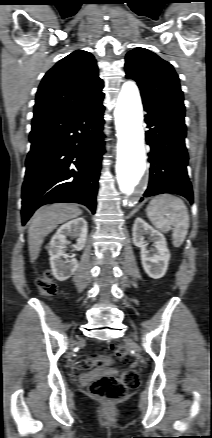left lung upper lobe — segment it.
I'll list each match as a JSON object with an SVG mask.
<instances>
[{"mask_svg":"<svg viewBox=\"0 0 212 438\" xmlns=\"http://www.w3.org/2000/svg\"><path fill=\"white\" fill-rule=\"evenodd\" d=\"M126 77L137 82L143 100L185 112L179 78L172 65L145 48L126 55Z\"/></svg>","mask_w":212,"mask_h":438,"instance_id":"obj_1","label":"left lung upper lobe"}]
</instances>
